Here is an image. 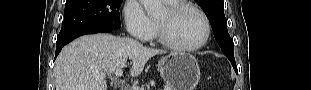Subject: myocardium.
I'll use <instances>...</instances> for the list:
<instances>
[{"mask_svg":"<svg viewBox=\"0 0 311 90\" xmlns=\"http://www.w3.org/2000/svg\"><path fill=\"white\" fill-rule=\"evenodd\" d=\"M192 9L194 10L203 20L204 26H205V33L203 38L196 44L189 45V46H182L179 44H176L171 40V38L168 35L167 28L164 22L160 21L159 19H156V30H157V37L159 42L164 45L165 47L182 53H189L196 51L200 48H202L209 40L211 35V24L207 17V15L196 5L189 3V2H178L177 4L168 6L166 8V12L168 16L172 17L175 16L177 13H179L183 9Z\"/></svg>","mask_w":311,"mask_h":90,"instance_id":"obj_1","label":"myocardium"}]
</instances>
